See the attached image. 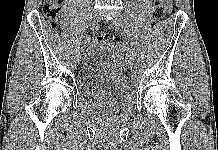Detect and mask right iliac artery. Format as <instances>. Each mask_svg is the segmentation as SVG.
<instances>
[{
  "label": "right iliac artery",
  "mask_w": 218,
  "mask_h": 150,
  "mask_svg": "<svg viewBox=\"0 0 218 150\" xmlns=\"http://www.w3.org/2000/svg\"><path fill=\"white\" fill-rule=\"evenodd\" d=\"M94 27H89L88 28V33L89 35L86 37L85 41H82L80 44L83 45L84 42H89V39H94Z\"/></svg>",
  "instance_id": "1"
}]
</instances>
